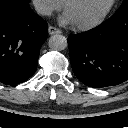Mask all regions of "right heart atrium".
I'll return each mask as SVG.
<instances>
[{
	"label": "right heart atrium",
	"mask_w": 128,
	"mask_h": 128,
	"mask_svg": "<svg viewBox=\"0 0 128 128\" xmlns=\"http://www.w3.org/2000/svg\"><path fill=\"white\" fill-rule=\"evenodd\" d=\"M33 4L37 11L43 16H51L63 6L61 0H33Z\"/></svg>",
	"instance_id": "obj_1"
}]
</instances>
